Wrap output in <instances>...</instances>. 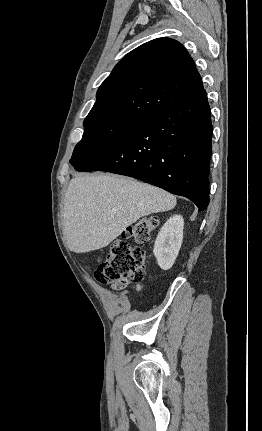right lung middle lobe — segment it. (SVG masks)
<instances>
[{
	"instance_id": "1",
	"label": "right lung middle lobe",
	"mask_w": 262,
	"mask_h": 431,
	"mask_svg": "<svg viewBox=\"0 0 262 431\" xmlns=\"http://www.w3.org/2000/svg\"><path fill=\"white\" fill-rule=\"evenodd\" d=\"M138 122H104L84 124L81 141L76 145L70 163L77 171H83L98 160Z\"/></svg>"
}]
</instances>
